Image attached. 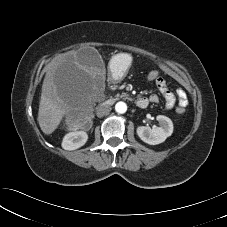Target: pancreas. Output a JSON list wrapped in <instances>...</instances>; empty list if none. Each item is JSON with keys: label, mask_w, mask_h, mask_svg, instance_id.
Instances as JSON below:
<instances>
[{"label": "pancreas", "mask_w": 227, "mask_h": 227, "mask_svg": "<svg viewBox=\"0 0 227 227\" xmlns=\"http://www.w3.org/2000/svg\"><path fill=\"white\" fill-rule=\"evenodd\" d=\"M119 98H127L126 94L125 93H122L121 95H117L116 96V99H119Z\"/></svg>", "instance_id": "pancreas-1"}]
</instances>
